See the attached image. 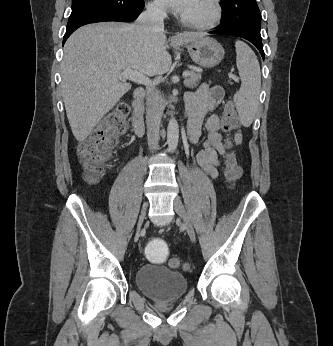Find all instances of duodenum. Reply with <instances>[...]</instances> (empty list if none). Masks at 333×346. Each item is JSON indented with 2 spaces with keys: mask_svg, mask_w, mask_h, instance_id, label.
Segmentation results:
<instances>
[{
  "mask_svg": "<svg viewBox=\"0 0 333 346\" xmlns=\"http://www.w3.org/2000/svg\"><path fill=\"white\" fill-rule=\"evenodd\" d=\"M145 91L142 88H137L133 92L131 124L134 133L141 136L144 133V120H143V99Z\"/></svg>",
  "mask_w": 333,
  "mask_h": 346,
  "instance_id": "obj_1",
  "label": "duodenum"
}]
</instances>
